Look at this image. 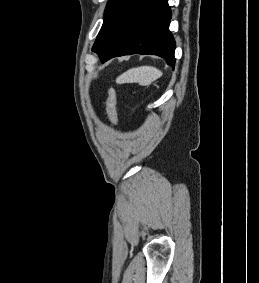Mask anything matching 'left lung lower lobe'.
Wrapping results in <instances>:
<instances>
[{"mask_svg":"<svg viewBox=\"0 0 259 283\" xmlns=\"http://www.w3.org/2000/svg\"><path fill=\"white\" fill-rule=\"evenodd\" d=\"M168 0H124L96 40L92 51L102 62L112 57L152 54L175 64V40L169 31Z\"/></svg>","mask_w":259,"mask_h":283,"instance_id":"1","label":"left lung lower lobe"}]
</instances>
